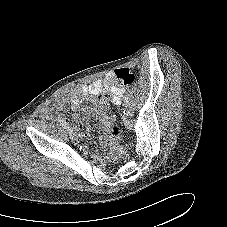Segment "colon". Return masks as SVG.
I'll use <instances>...</instances> for the list:
<instances>
[{"mask_svg":"<svg viewBox=\"0 0 227 227\" xmlns=\"http://www.w3.org/2000/svg\"><path fill=\"white\" fill-rule=\"evenodd\" d=\"M134 75L128 69H118L115 73V84L119 88L126 87L134 81ZM100 111L105 112L109 109L110 104L106 98L101 97L97 103ZM114 139L112 141V149L114 153L120 158H127V151L124 150L120 144V132L117 128H113Z\"/></svg>","mask_w":227,"mask_h":227,"instance_id":"obj_1","label":"colon"}]
</instances>
